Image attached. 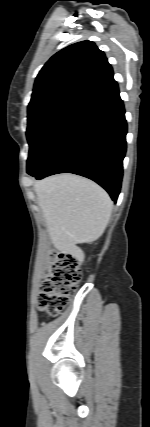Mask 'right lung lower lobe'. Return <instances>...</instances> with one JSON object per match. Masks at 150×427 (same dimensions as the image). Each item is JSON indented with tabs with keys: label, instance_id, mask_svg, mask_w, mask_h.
Segmentation results:
<instances>
[{
	"label": "right lung lower lobe",
	"instance_id": "1",
	"mask_svg": "<svg viewBox=\"0 0 150 427\" xmlns=\"http://www.w3.org/2000/svg\"><path fill=\"white\" fill-rule=\"evenodd\" d=\"M118 85L100 94L67 123L36 170V179L74 173L101 185L116 201L120 192L127 124Z\"/></svg>",
	"mask_w": 150,
	"mask_h": 427
}]
</instances>
